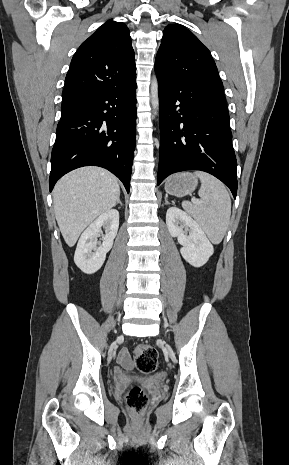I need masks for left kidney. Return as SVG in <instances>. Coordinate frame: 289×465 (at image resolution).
<instances>
[{
	"label": "left kidney",
	"mask_w": 289,
	"mask_h": 465,
	"mask_svg": "<svg viewBox=\"0 0 289 465\" xmlns=\"http://www.w3.org/2000/svg\"><path fill=\"white\" fill-rule=\"evenodd\" d=\"M166 225L170 235L177 237L182 245L180 253L190 265L201 267L206 264L214 248L191 216L177 207H171L166 213Z\"/></svg>",
	"instance_id": "left-kidney-1"
}]
</instances>
